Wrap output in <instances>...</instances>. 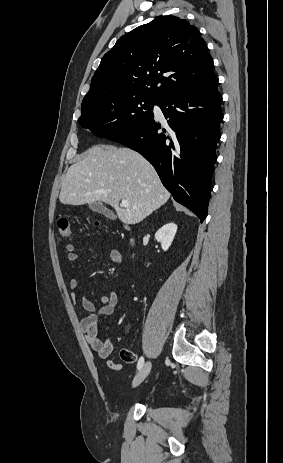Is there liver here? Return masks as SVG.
Returning a JSON list of instances; mask_svg holds the SVG:
<instances>
[{"instance_id":"obj_1","label":"liver","mask_w":283,"mask_h":463,"mask_svg":"<svg viewBox=\"0 0 283 463\" xmlns=\"http://www.w3.org/2000/svg\"><path fill=\"white\" fill-rule=\"evenodd\" d=\"M170 193L154 167L129 148L96 145L70 166L62 181L60 202L82 205L98 201L111 205L125 224H137L164 205ZM127 200L128 207H121Z\"/></svg>"}]
</instances>
